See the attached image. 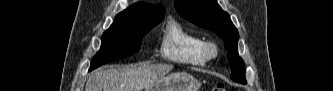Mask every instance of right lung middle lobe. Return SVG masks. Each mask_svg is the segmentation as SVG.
<instances>
[{"mask_svg": "<svg viewBox=\"0 0 333 91\" xmlns=\"http://www.w3.org/2000/svg\"><path fill=\"white\" fill-rule=\"evenodd\" d=\"M155 18L112 24L102 36L100 51L93 58L89 71L104 63L127 57L140 50L145 34L162 21Z\"/></svg>", "mask_w": 333, "mask_h": 91, "instance_id": "1", "label": "right lung middle lobe"}]
</instances>
